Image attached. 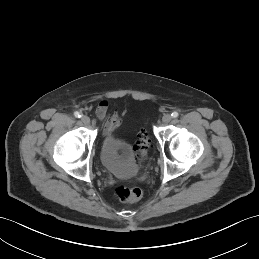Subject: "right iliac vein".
I'll return each instance as SVG.
<instances>
[{
  "label": "right iliac vein",
  "mask_w": 259,
  "mask_h": 259,
  "mask_svg": "<svg viewBox=\"0 0 259 259\" xmlns=\"http://www.w3.org/2000/svg\"><path fill=\"white\" fill-rule=\"evenodd\" d=\"M81 121H82L84 124L88 125V124L90 123V118H89L88 116H86V115H83V116L81 117Z\"/></svg>",
  "instance_id": "right-iliac-vein-1"
}]
</instances>
